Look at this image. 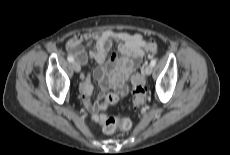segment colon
<instances>
[{
	"mask_svg": "<svg viewBox=\"0 0 230 155\" xmlns=\"http://www.w3.org/2000/svg\"><path fill=\"white\" fill-rule=\"evenodd\" d=\"M145 50L149 56H154L158 52L156 41L151 40L145 45ZM132 99L135 108L142 107L146 102V86L142 81L141 75L137 74L132 79ZM110 102H114L115 98L110 97ZM95 121L102 126L105 133H113L116 129L127 131L132 127V122L129 119H121L117 117H108L104 114L95 115Z\"/></svg>",
	"mask_w": 230,
	"mask_h": 155,
	"instance_id": "5ec220e1",
	"label": "colon"
}]
</instances>
